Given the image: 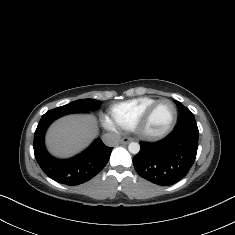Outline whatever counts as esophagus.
Segmentation results:
<instances>
[{
  "label": "esophagus",
  "mask_w": 235,
  "mask_h": 235,
  "mask_svg": "<svg viewBox=\"0 0 235 235\" xmlns=\"http://www.w3.org/2000/svg\"><path fill=\"white\" fill-rule=\"evenodd\" d=\"M133 139L130 137H123L120 141L121 144H129L130 142H132Z\"/></svg>",
  "instance_id": "34e87169"
}]
</instances>
